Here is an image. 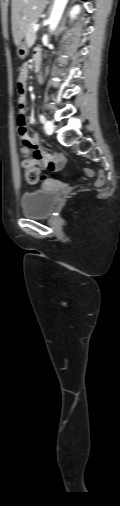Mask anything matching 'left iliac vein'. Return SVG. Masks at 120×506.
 Here are the masks:
<instances>
[{"instance_id": "4c4485c4", "label": "left iliac vein", "mask_w": 120, "mask_h": 506, "mask_svg": "<svg viewBox=\"0 0 120 506\" xmlns=\"http://www.w3.org/2000/svg\"><path fill=\"white\" fill-rule=\"evenodd\" d=\"M44 128H45V132H46L47 134H49V135H50V134H52V133H53L54 127H53V123H52L51 121H48V120H47V121L45 122V126H44Z\"/></svg>"}]
</instances>
